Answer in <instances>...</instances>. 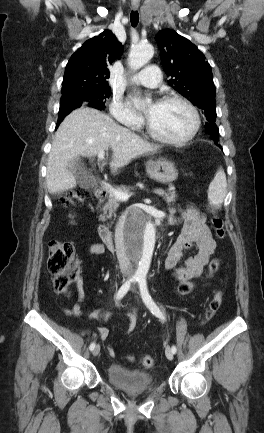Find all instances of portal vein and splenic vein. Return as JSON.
Instances as JSON below:
<instances>
[{
	"mask_svg": "<svg viewBox=\"0 0 264 433\" xmlns=\"http://www.w3.org/2000/svg\"><path fill=\"white\" fill-rule=\"evenodd\" d=\"M104 155H105L104 151H100L98 153V159L103 160ZM103 184L109 190V192L112 193L118 200L126 201L132 196L131 193H127V192H123V191L114 189L110 184H108L106 182H103ZM155 193L158 195H161V194H163V190L157 189L155 191Z\"/></svg>",
	"mask_w": 264,
	"mask_h": 433,
	"instance_id": "18ae733b",
	"label": "portal vein and splenic vein"
}]
</instances>
